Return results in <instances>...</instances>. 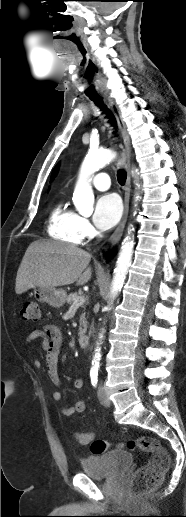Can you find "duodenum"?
<instances>
[{
	"label": "duodenum",
	"mask_w": 186,
	"mask_h": 517,
	"mask_svg": "<svg viewBox=\"0 0 186 517\" xmlns=\"http://www.w3.org/2000/svg\"><path fill=\"white\" fill-rule=\"evenodd\" d=\"M77 341L80 348L86 349L89 347L90 340L86 334H79Z\"/></svg>",
	"instance_id": "1"
}]
</instances>
